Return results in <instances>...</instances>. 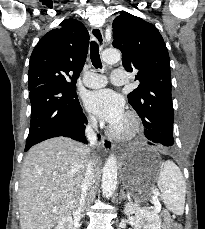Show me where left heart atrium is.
I'll return each mask as SVG.
<instances>
[{
	"label": "left heart atrium",
	"instance_id": "left-heart-atrium-1",
	"mask_svg": "<svg viewBox=\"0 0 205 229\" xmlns=\"http://www.w3.org/2000/svg\"><path fill=\"white\" fill-rule=\"evenodd\" d=\"M85 106L88 111L112 126L124 118V100L110 89H101L87 94Z\"/></svg>",
	"mask_w": 205,
	"mask_h": 229
}]
</instances>
